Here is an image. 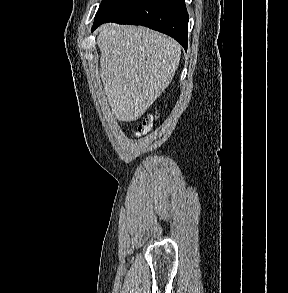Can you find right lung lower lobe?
I'll list each match as a JSON object with an SVG mask.
<instances>
[{
  "label": "right lung lower lobe",
  "instance_id": "obj_1",
  "mask_svg": "<svg viewBox=\"0 0 288 293\" xmlns=\"http://www.w3.org/2000/svg\"><path fill=\"white\" fill-rule=\"evenodd\" d=\"M188 20L184 0H128L92 31L107 22L143 25L171 36L186 50Z\"/></svg>",
  "mask_w": 288,
  "mask_h": 293
}]
</instances>
